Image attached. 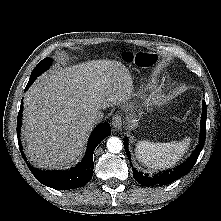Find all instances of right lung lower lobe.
Instances as JSON below:
<instances>
[{
    "label": "right lung lower lobe",
    "mask_w": 221,
    "mask_h": 221,
    "mask_svg": "<svg viewBox=\"0 0 221 221\" xmlns=\"http://www.w3.org/2000/svg\"><path fill=\"white\" fill-rule=\"evenodd\" d=\"M33 82H28L25 90H27ZM22 113H23V99L21 100V106L17 117V137L18 144L21 151V154L24 157L21 141H20V128L22 123ZM111 134V129L109 123H102L98 125L93 133L91 134L87 146L86 154L83 160L77 164L76 167L71 168L67 171H42L39 169L33 168L31 165H28L30 171L35 176V178L48 187L57 190H68L75 189L81 186H84L87 182L90 181L93 175V152L97 145L107 136Z\"/></svg>",
    "instance_id": "98d812e1"
}]
</instances>
